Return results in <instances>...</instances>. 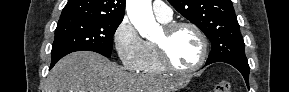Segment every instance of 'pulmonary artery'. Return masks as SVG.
I'll list each match as a JSON object with an SVG mask.
<instances>
[{
    "mask_svg": "<svg viewBox=\"0 0 289 92\" xmlns=\"http://www.w3.org/2000/svg\"><path fill=\"white\" fill-rule=\"evenodd\" d=\"M153 12L157 19L161 21H169L172 18L171 8L163 1L157 0L153 2Z\"/></svg>",
    "mask_w": 289,
    "mask_h": 92,
    "instance_id": "e3ab8cb5",
    "label": "pulmonary artery"
}]
</instances>
